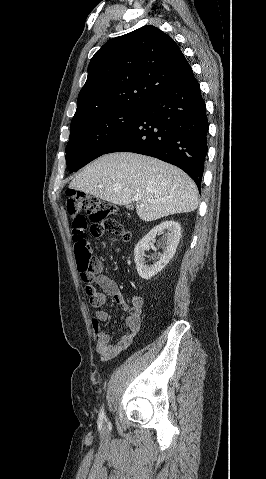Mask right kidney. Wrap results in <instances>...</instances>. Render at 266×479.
<instances>
[{
    "mask_svg": "<svg viewBox=\"0 0 266 479\" xmlns=\"http://www.w3.org/2000/svg\"><path fill=\"white\" fill-rule=\"evenodd\" d=\"M162 231H166L164 240L165 249L160 260L153 265H147L144 259L145 251L149 249L150 242ZM181 237V227L173 220L164 221L151 229L135 246L134 261L139 276L145 280L150 279L160 272L173 258Z\"/></svg>",
    "mask_w": 266,
    "mask_h": 479,
    "instance_id": "1",
    "label": "right kidney"
}]
</instances>
